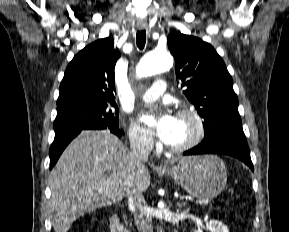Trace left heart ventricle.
Instances as JSON below:
<instances>
[{
	"mask_svg": "<svg viewBox=\"0 0 289 232\" xmlns=\"http://www.w3.org/2000/svg\"><path fill=\"white\" fill-rule=\"evenodd\" d=\"M196 132V126L189 117H177V128L172 146H180L187 143Z\"/></svg>",
	"mask_w": 289,
	"mask_h": 232,
	"instance_id": "1",
	"label": "left heart ventricle"
}]
</instances>
